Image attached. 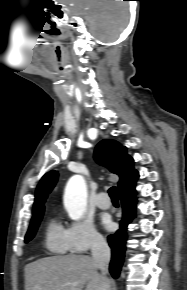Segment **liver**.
<instances>
[{
  "instance_id": "6515ba94",
  "label": "liver",
  "mask_w": 187,
  "mask_h": 290,
  "mask_svg": "<svg viewBox=\"0 0 187 290\" xmlns=\"http://www.w3.org/2000/svg\"><path fill=\"white\" fill-rule=\"evenodd\" d=\"M112 290V281L98 272L86 255L46 257L25 267V290Z\"/></svg>"
}]
</instances>
